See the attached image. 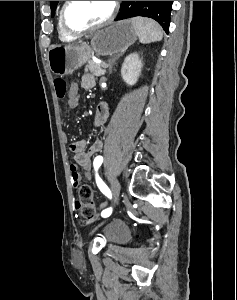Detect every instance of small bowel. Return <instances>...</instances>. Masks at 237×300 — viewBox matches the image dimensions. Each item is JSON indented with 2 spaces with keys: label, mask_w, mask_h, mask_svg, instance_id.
<instances>
[{
  "label": "small bowel",
  "mask_w": 237,
  "mask_h": 300,
  "mask_svg": "<svg viewBox=\"0 0 237 300\" xmlns=\"http://www.w3.org/2000/svg\"><path fill=\"white\" fill-rule=\"evenodd\" d=\"M81 85L85 89H91L95 85V79L91 74L83 75L81 79ZM78 85L72 84L69 88V94L74 96L78 94ZM109 117V108L108 105L104 102H101L95 111V116L93 120V126L95 129L101 128L108 120ZM102 141L100 139H96L92 142L89 148L86 150L87 142L85 140H78L72 142L69 146V149L72 153H74L75 163L70 165V170L72 172V184L75 186L73 181V177H77L79 182L80 174H84L87 178H90L92 163L91 159L94 155L99 153L102 149ZM103 205H101L102 207ZM75 209L79 210L80 205L78 203L75 204ZM92 219H85L81 224L89 223Z\"/></svg>",
  "instance_id": "small-bowel-1"
}]
</instances>
